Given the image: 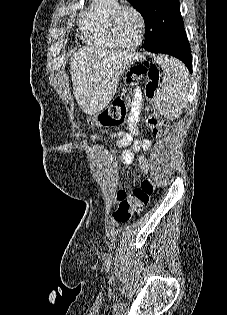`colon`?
I'll list each match as a JSON object with an SVG mask.
<instances>
[{
	"instance_id": "colon-1",
	"label": "colon",
	"mask_w": 227,
	"mask_h": 315,
	"mask_svg": "<svg viewBox=\"0 0 227 315\" xmlns=\"http://www.w3.org/2000/svg\"><path fill=\"white\" fill-rule=\"evenodd\" d=\"M146 77L145 95L147 102L144 106V122L151 128L155 136L161 137L168 133L169 124L154 109L152 100L158 90L160 81L159 68L149 62L133 64L127 74V83L134 85L138 80ZM129 108L125 99L118 98L110 107L89 119L91 126L111 127L122 124L128 114ZM155 190L153 180L144 181L139 187L135 188L130 194L121 190L117 194L116 219L124 222L131 215L139 213L146 206Z\"/></svg>"
}]
</instances>
